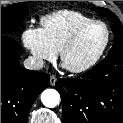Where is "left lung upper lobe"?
Listing matches in <instances>:
<instances>
[{"instance_id":"left-lung-upper-lobe-1","label":"left lung upper lobe","mask_w":123,"mask_h":123,"mask_svg":"<svg viewBox=\"0 0 123 123\" xmlns=\"http://www.w3.org/2000/svg\"><path fill=\"white\" fill-rule=\"evenodd\" d=\"M92 9L101 15L107 16L111 22H113L112 30L115 38L113 40V46L108 55L123 51V29L119 19L109 9L101 7H95Z\"/></svg>"}]
</instances>
